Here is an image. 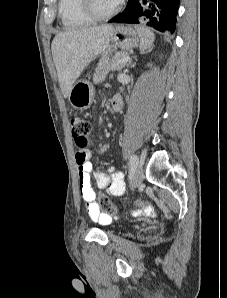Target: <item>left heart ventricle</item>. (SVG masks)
Instances as JSON below:
<instances>
[{
	"instance_id": "1",
	"label": "left heart ventricle",
	"mask_w": 227,
	"mask_h": 298,
	"mask_svg": "<svg viewBox=\"0 0 227 298\" xmlns=\"http://www.w3.org/2000/svg\"><path fill=\"white\" fill-rule=\"evenodd\" d=\"M117 2L115 0H93V6L98 13L105 14L111 11Z\"/></svg>"
}]
</instances>
